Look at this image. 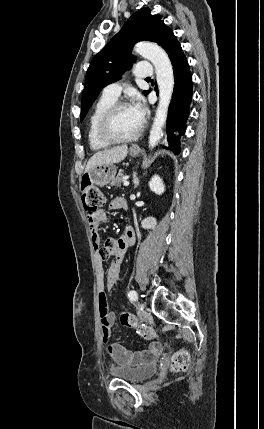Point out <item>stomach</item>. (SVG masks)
Returning a JSON list of instances; mask_svg holds the SVG:
<instances>
[{"label":"stomach","mask_w":264,"mask_h":429,"mask_svg":"<svg viewBox=\"0 0 264 429\" xmlns=\"http://www.w3.org/2000/svg\"><path fill=\"white\" fill-rule=\"evenodd\" d=\"M129 152L133 157L139 154V150L130 149ZM116 172L117 167L114 164H102L95 166L89 172H86L83 177L88 179L92 184L104 186L115 177Z\"/></svg>","instance_id":"obj_1"}]
</instances>
